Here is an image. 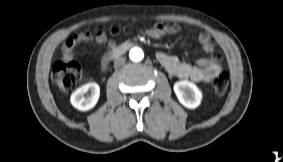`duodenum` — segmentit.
Returning <instances> with one entry per match:
<instances>
[{"mask_svg":"<svg viewBox=\"0 0 283 162\" xmlns=\"http://www.w3.org/2000/svg\"><path fill=\"white\" fill-rule=\"evenodd\" d=\"M132 47V43L126 42L117 46V49L114 52H109L108 54L112 56V58H118L123 55L128 49Z\"/></svg>","mask_w":283,"mask_h":162,"instance_id":"1","label":"duodenum"}]
</instances>
